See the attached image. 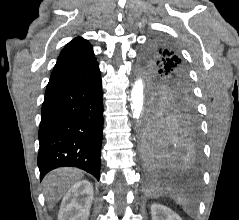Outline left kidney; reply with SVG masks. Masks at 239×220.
<instances>
[{"label":"left kidney","mask_w":239,"mask_h":220,"mask_svg":"<svg viewBox=\"0 0 239 220\" xmlns=\"http://www.w3.org/2000/svg\"><path fill=\"white\" fill-rule=\"evenodd\" d=\"M152 220H182L179 215L164 205L154 203L151 206Z\"/></svg>","instance_id":"5707ae66"}]
</instances>
